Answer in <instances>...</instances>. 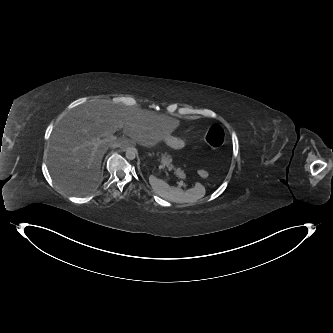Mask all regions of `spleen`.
I'll return each mask as SVG.
<instances>
[{
  "label": "spleen",
  "instance_id": "3e777b00",
  "mask_svg": "<svg viewBox=\"0 0 333 333\" xmlns=\"http://www.w3.org/2000/svg\"><path fill=\"white\" fill-rule=\"evenodd\" d=\"M149 183L153 191L164 199L179 203L196 202L205 196V187L196 183L195 186L189 190H182L180 188L171 187L166 181L157 178L155 175L149 176Z\"/></svg>",
  "mask_w": 333,
  "mask_h": 333
}]
</instances>
